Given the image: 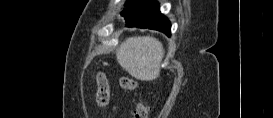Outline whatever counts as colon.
<instances>
[{
    "instance_id": "colon-1",
    "label": "colon",
    "mask_w": 273,
    "mask_h": 118,
    "mask_svg": "<svg viewBox=\"0 0 273 118\" xmlns=\"http://www.w3.org/2000/svg\"><path fill=\"white\" fill-rule=\"evenodd\" d=\"M97 90H96V104L99 107H105L109 102V85L107 77L104 73L99 72L96 76ZM120 87L127 91L136 89L138 83L135 79L122 76L119 80ZM148 109L144 101H139L135 107L133 118H147Z\"/></svg>"
}]
</instances>
